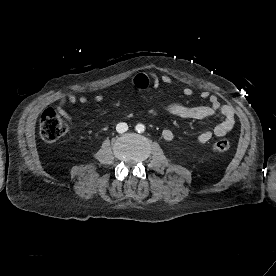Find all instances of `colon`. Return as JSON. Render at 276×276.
Returning <instances> with one entry per match:
<instances>
[{
    "label": "colon",
    "instance_id": "obj_1",
    "mask_svg": "<svg viewBox=\"0 0 276 276\" xmlns=\"http://www.w3.org/2000/svg\"><path fill=\"white\" fill-rule=\"evenodd\" d=\"M66 121L52 107L45 109L40 118V136L46 142H55L67 132ZM212 148L215 152L223 153L229 150L230 142L225 138L216 140Z\"/></svg>",
    "mask_w": 276,
    "mask_h": 276
}]
</instances>
